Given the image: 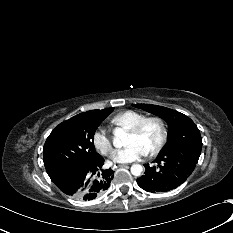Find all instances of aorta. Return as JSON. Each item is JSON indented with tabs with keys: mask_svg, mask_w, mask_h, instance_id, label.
<instances>
[{
	"mask_svg": "<svg viewBox=\"0 0 233 233\" xmlns=\"http://www.w3.org/2000/svg\"><path fill=\"white\" fill-rule=\"evenodd\" d=\"M115 139H114V146L120 147L122 146L121 138L124 136V132L122 129L118 128L115 130ZM143 171V167L140 164H133L131 166V173L134 176H140Z\"/></svg>",
	"mask_w": 233,
	"mask_h": 233,
	"instance_id": "obj_1",
	"label": "aorta"
}]
</instances>
